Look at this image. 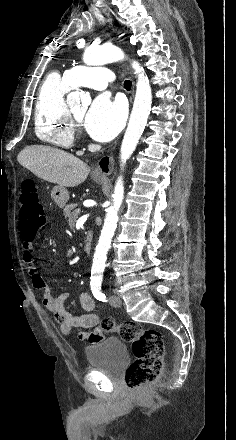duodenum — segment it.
I'll list each match as a JSON object with an SVG mask.
<instances>
[{"instance_id":"410a0bca","label":"duodenum","mask_w":236,"mask_h":440,"mask_svg":"<svg viewBox=\"0 0 236 440\" xmlns=\"http://www.w3.org/2000/svg\"><path fill=\"white\" fill-rule=\"evenodd\" d=\"M92 243H93V232L88 231L84 241V250L87 254L91 252Z\"/></svg>"}]
</instances>
